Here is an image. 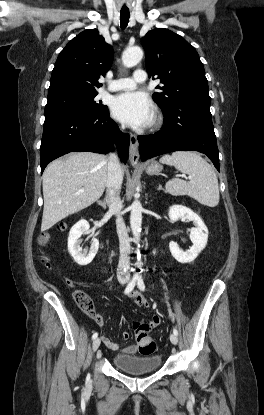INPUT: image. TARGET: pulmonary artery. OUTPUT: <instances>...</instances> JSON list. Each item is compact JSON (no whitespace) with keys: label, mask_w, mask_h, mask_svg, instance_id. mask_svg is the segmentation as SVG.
Here are the masks:
<instances>
[{"label":"pulmonary artery","mask_w":264,"mask_h":415,"mask_svg":"<svg viewBox=\"0 0 264 415\" xmlns=\"http://www.w3.org/2000/svg\"><path fill=\"white\" fill-rule=\"evenodd\" d=\"M146 74L143 70H138L133 73L131 77L113 80L109 85L110 91L132 90L137 87L139 83L144 82Z\"/></svg>","instance_id":"e3ab8cb5"}]
</instances>
